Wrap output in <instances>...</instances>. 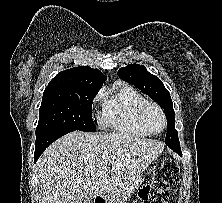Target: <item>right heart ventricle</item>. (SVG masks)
<instances>
[{
	"label": "right heart ventricle",
	"mask_w": 222,
	"mask_h": 203,
	"mask_svg": "<svg viewBox=\"0 0 222 203\" xmlns=\"http://www.w3.org/2000/svg\"><path fill=\"white\" fill-rule=\"evenodd\" d=\"M101 124L116 133L145 137L147 132L138 119L139 108L147 102L133 87L117 83L103 94Z\"/></svg>",
	"instance_id": "right-heart-ventricle-1"
}]
</instances>
